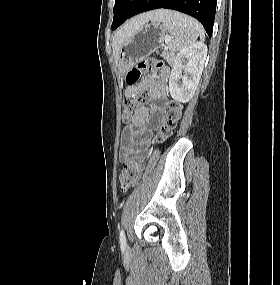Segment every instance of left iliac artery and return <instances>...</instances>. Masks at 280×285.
Instances as JSON below:
<instances>
[{"instance_id":"left-iliac-artery-1","label":"left iliac artery","mask_w":280,"mask_h":285,"mask_svg":"<svg viewBox=\"0 0 280 285\" xmlns=\"http://www.w3.org/2000/svg\"><path fill=\"white\" fill-rule=\"evenodd\" d=\"M119 240H120L121 248L125 249V247H126V238H125V233H124L123 229L120 231Z\"/></svg>"}]
</instances>
